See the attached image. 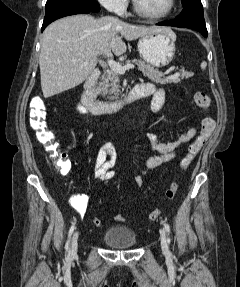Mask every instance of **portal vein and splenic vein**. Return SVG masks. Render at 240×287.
Segmentation results:
<instances>
[{
	"instance_id": "obj_1",
	"label": "portal vein and splenic vein",
	"mask_w": 240,
	"mask_h": 287,
	"mask_svg": "<svg viewBox=\"0 0 240 287\" xmlns=\"http://www.w3.org/2000/svg\"><path fill=\"white\" fill-rule=\"evenodd\" d=\"M108 65L113 71H116L120 74H124L126 72V70L134 69V67H135L133 64H127V65L122 66L120 63H118L112 59L108 60ZM178 76H179V72H176L175 74L169 76L167 79L174 80V79L178 78Z\"/></svg>"
}]
</instances>
